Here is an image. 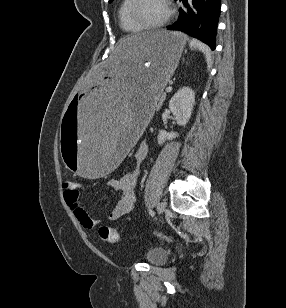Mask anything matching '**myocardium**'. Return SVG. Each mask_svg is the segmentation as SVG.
Here are the masks:
<instances>
[{"label": "myocardium", "instance_id": "myocardium-1", "mask_svg": "<svg viewBox=\"0 0 286 308\" xmlns=\"http://www.w3.org/2000/svg\"><path fill=\"white\" fill-rule=\"evenodd\" d=\"M165 5H166V9H167V13L165 15V17L157 22V23H145L144 21H142L139 16H138V6L140 4V0H132L130 8H129V16L131 18V20L138 25L139 27H141L142 29L145 30H154V29H159L162 28L163 26H165L169 20L171 19L172 15H173V9L170 3V0H164Z\"/></svg>", "mask_w": 286, "mask_h": 308}]
</instances>
